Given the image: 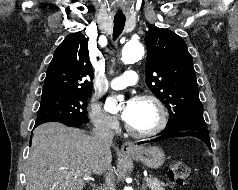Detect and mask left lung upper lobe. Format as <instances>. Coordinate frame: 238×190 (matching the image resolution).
<instances>
[{"mask_svg":"<svg viewBox=\"0 0 238 190\" xmlns=\"http://www.w3.org/2000/svg\"><path fill=\"white\" fill-rule=\"evenodd\" d=\"M145 43L146 83L169 111L167 126L204 119L193 61L184 40L168 29L152 26Z\"/></svg>","mask_w":238,"mask_h":190,"instance_id":"5c2ea615","label":"left lung upper lobe"}]
</instances>
